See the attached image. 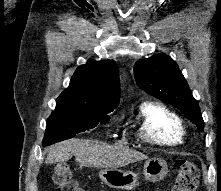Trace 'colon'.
I'll return each mask as SVG.
<instances>
[{
  "mask_svg": "<svg viewBox=\"0 0 221 191\" xmlns=\"http://www.w3.org/2000/svg\"><path fill=\"white\" fill-rule=\"evenodd\" d=\"M177 175L171 191H195L199 170L189 161L179 159L175 163ZM53 181L58 186L57 191H85L74 179L71 168L66 163H60L55 167Z\"/></svg>",
  "mask_w": 221,
  "mask_h": 191,
  "instance_id": "5ec220e1",
  "label": "colon"
}]
</instances>
